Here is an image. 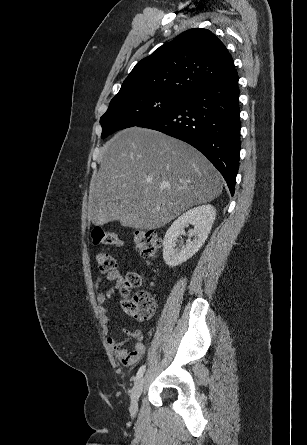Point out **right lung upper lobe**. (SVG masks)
<instances>
[{
    "label": "right lung upper lobe",
    "instance_id": "right-lung-upper-lobe-1",
    "mask_svg": "<svg viewBox=\"0 0 307 445\" xmlns=\"http://www.w3.org/2000/svg\"><path fill=\"white\" fill-rule=\"evenodd\" d=\"M234 70L231 55L211 31L190 29L139 61L117 95L185 97Z\"/></svg>",
    "mask_w": 307,
    "mask_h": 445
}]
</instances>
